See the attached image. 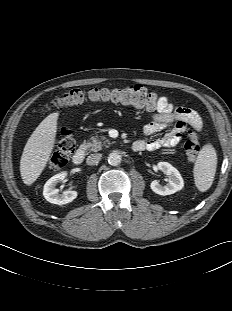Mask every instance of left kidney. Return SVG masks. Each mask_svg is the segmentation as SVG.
<instances>
[{
  "instance_id": "obj_1",
  "label": "left kidney",
  "mask_w": 232,
  "mask_h": 311,
  "mask_svg": "<svg viewBox=\"0 0 232 311\" xmlns=\"http://www.w3.org/2000/svg\"><path fill=\"white\" fill-rule=\"evenodd\" d=\"M159 170L168 175V183L164 186L160 185L156 180L152 181L150 187L153 192L159 195H170L184 187V181L179 171L168 162H159L157 164Z\"/></svg>"
}]
</instances>
